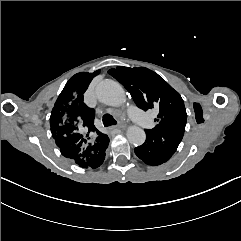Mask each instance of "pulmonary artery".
I'll return each instance as SVG.
<instances>
[{
    "instance_id": "1",
    "label": "pulmonary artery",
    "mask_w": 241,
    "mask_h": 241,
    "mask_svg": "<svg viewBox=\"0 0 241 241\" xmlns=\"http://www.w3.org/2000/svg\"><path fill=\"white\" fill-rule=\"evenodd\" d=\"M125 110L130 119L138 125L144 126L149 123V114L146 111H143L137 102H128Z\"/></svg>"
}]
</instances>
